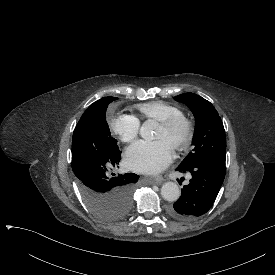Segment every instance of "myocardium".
I'll return each mask as SVG.
<instances>
[{
	"label": "myocardium",
	"instance_id": "f54148a6",
	"mask_svg": "<svg viewBox=\"0 0 275 275\" xmlns=\"http://www.w3.org/2000/svg\"><path fill=\"white\" fill-rule=\"evenodd\" d=\"M160 126L166 131L172 140V145L177 150L189 147L193 138V126L191 121L184 115L174 116L160 122Z\"/></svg>",
	"mask_w": 275,
	"mask_h": 275
}]
</instances>
